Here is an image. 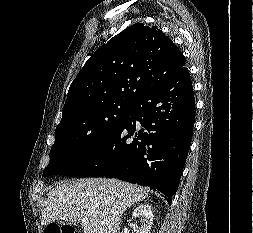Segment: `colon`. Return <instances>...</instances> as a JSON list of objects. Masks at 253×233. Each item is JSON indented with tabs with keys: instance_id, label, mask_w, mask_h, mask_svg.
Listing matches in <instances>:
<instances>
[{
	"instance_id": "obj_1",
	"label": "colon",
	"mask_w": 253,
	"mask_h": 233,
	"mask_svg": "<svg viewBox=\"0 0 253 233\" xmlns=\"http://www.w3.org/2000/svg\"><path fill=\"white\" fill-rule=\"evenodd\" d=\"M45 233H78L71 225L51 223L45 228Z\"/></svg>"
}]
</instances>
